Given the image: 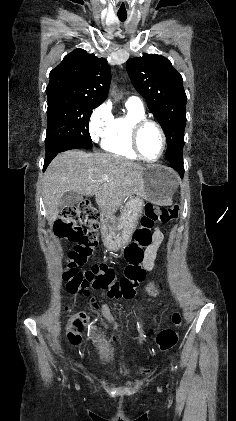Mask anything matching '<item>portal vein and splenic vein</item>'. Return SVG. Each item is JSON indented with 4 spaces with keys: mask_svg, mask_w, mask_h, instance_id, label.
I'll use <instances>...</instances> for the list:
<instances>
[{
    "mask_svg": "<svg viewBox=\"0 0 236 421\" xmlns=\"http://www.w3.org/2000/svg\"><path fill=\"white\" fill-rule=\"evenodd\" d=\"M109 176H107V174H104V176H102L101 180H108Z\"/></svg>",
    "mask_w": 236,
    "mask_h": 421,
    "instance_id": "obj_1",
    "label": "portal vein and splenic vein"
}]
</instances>
